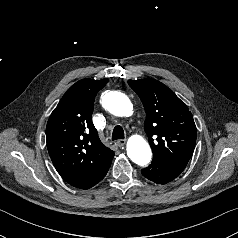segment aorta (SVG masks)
Segmentation results:
<instances>
[{"label": "aorta", "instance_id": "762f6f07", "mask_svg": "<svg viewBox=\"0 0 238 238\" xmlns=\"http://www.w3.org/2000/svg\"><path fill=\"white\" fill-rule=\"evenodd\" d=\"M102 105L110 113L120 117L132 114L133 105L130 99L118 91L105 92ZM127 155L136 164L146 166L152 157L149 144L141 136H132L127 142Z\"/></svg>", "mask_w": 238, "mask_h": 238}]
</instances>
